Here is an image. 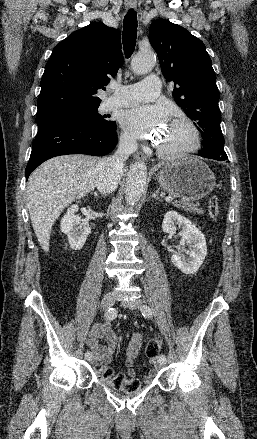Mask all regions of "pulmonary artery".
Returning a JSON list of instances; mask_svg holds the SVG:
<instances>
[{"mask_svg":"<svg viewBox=\"0 0 257 439\" xmlns=\"http://www.w3.org/2000/svg\"><path fill=\"white\" fill-rule=\"evenodd\" d=\"M113 94L107 100V106L123 107L141 102L154 100L160 93V80L156 75H150L143 81L133 85L112 86Z\"/></svg>","mask_w":257,"mask_h":439,"instance_id":"1","label":"pulmonary artery"}]
</instances>
